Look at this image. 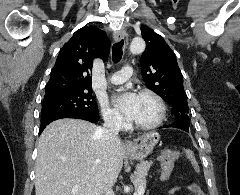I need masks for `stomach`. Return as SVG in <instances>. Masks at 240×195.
Wrapping results in <instances>:
<instances>
[{"label":"stomach","instance_id":"1","mask_svg":"<svg viewBox=\"0 0 240 195\" xmlns=\"http://www.w3.org/2000/svg\"><path fill=\"white\" fill-rule=\"evenodd\" d=\"M160 135L158 131H149L143 133L138 139L132 141V145H124L125 153L130 159H144L151 151H153L156 143H158Z\"/></svg>","mask_w":240,"mask_h":195}]
</instances>
